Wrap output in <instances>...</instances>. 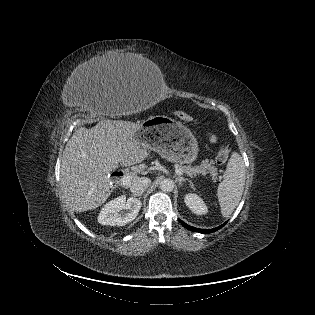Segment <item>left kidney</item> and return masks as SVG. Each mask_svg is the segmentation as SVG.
<instances>
[{
    "label": "left kidney",
    "mask_w": 315,
    "mask_h": 315,
    "mask_svg": "<svg viewBox=\"0 0 315 315\" xmlns=\"http://www.w3.org/2000/svg\"><path fill=\"white\" fill-rule=\"evenodd\" d=\"M184 201L189 209L197 215H203L208 212L207 206L205 205L203 200L196 194H186Z\"/></svg>",
    "instance_id": "1"
}]
</instances>
